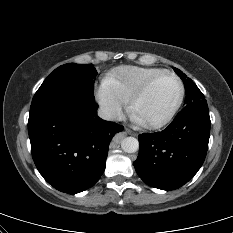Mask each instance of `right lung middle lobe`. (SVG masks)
I'll use <instances>...</instances> for the list:
<instances>
[{"label": "right lung middle lobe", "instance_id": "obj_1", "mask_svg": "<svg viewBox=\"0 0 233 233\" xmlns=\"http://www.w3.org/2000/svg\"><path fill=\"white\" fill-rule=\"evenodd\" d=\"M96 75L92 64L67 63L56 68L35 93L30 110L56 101H95Z\"/></svg>", "mask_w": 233, "mask_h": 233}]
</instances>
